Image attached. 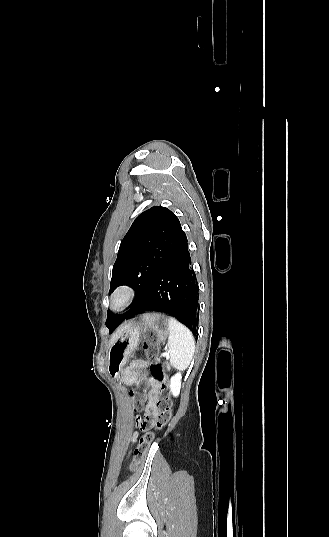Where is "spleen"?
Returning <instances> with one entry per match:
<instances>
[{
  "instance_id": "spleen-1",
  "label": "spleen",
  "mask_w": 329,
  "mask_h": 537,
  "mask_svg": "<svg viewBox=\"0 0 329 537\" xmlns=\"http://www.w3.org/2000/svg\"><path fill=\"white\" fill-rule=\"evenodd\" d=\"M168 348L171 365L178 369H186L195 352V341L191 331L176 319L169 318Z\"/></svg>"
}]
</instances>
